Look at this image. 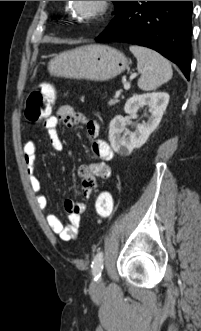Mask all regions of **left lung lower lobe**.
I'll return each instance as SVG.
<instances>
[{
    "mask_svg": "<svg viewBox=\"0 0 201 331\" xmlns=\"http://www.w3.org/2000/svg\"><path fill=\"white\" fill-rule=\"evenodd\" d=\"M192 1H122L96 41L137 44L177 64L189 79Z\"/></svg>",
    "mask_w": 201,
    "mask_h": 331,
    "instance_id": "0a47b994",
    "label": "left lung lower lobe"
}]
</instances>
